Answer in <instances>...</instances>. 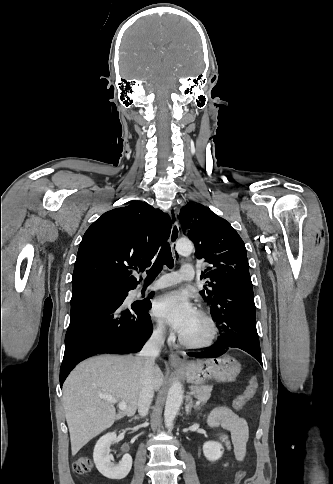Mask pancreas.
<instances>
[{"label":"pancreas","mask_w":333,"mask_h":484,"mask_svg":"<svg viewBox=\"0 0 333 484\" xmlns=\"http://www.w3.org/2000/svg\"><path fill=\"white\" fill-rule=\"evenodd\" d=\"M212 389V385L192 386L191 395L198 399L200 402L206 403L211 396Z\"/></svg>","instance_id":"1"}]
</instances>
